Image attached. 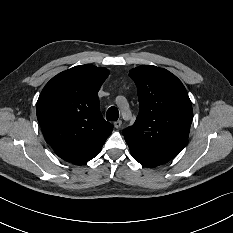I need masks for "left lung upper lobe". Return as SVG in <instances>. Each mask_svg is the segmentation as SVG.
Returning <instances> with one entry per match:
<instances>
[{
	"label": "left lung upper lobe",
	"mask_w": 233,
	"mask_h": 233,
	"mask_svg": "<svg viewBox=\"0 0 233 233\" xmlns=\"http://www.w3.org/2000/svg\"><path fill=\"white\" fill-rule=\"evenodd\" d=\"M138 89L140 110L133 126L123 130L126 141L174 158L186 146L192 104L181 81L165 69L142 65L130 70Z\"/></svg>",
	"instance_id": "left-lung-upper-lobe-1"
}]
</instances>
